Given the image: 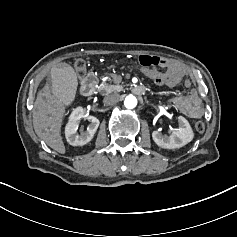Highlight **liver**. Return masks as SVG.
Segmentation results:
<instances>
[{"label":"liver","instance_id":"obj_1","mask_svg":"<svg viewBox=\"0 0 237 237\" xmlns=\"http://www.w3.org/2000/svg\"><path fill=\"white\" fill-rule=\"evenodd\" d=\"M45 91V95L39 92L34 103L36 111L33 113V128L36 136L51 149L65 154L66 148L61 137V127L66 109L64 105L56 101L48 89Z\"/></svg>","mask_w":237,"mask_h":237}]
</instances>
